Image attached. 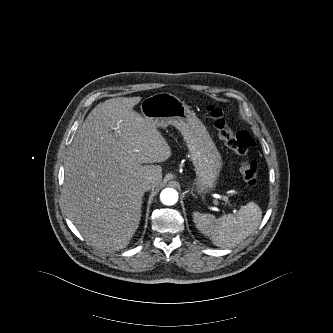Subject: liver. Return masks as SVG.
<instances>
[{
	"label": "liver",
	"instance_id": "obj_1",
	"mask_svg": "<svg viewBox=\"0 0 333 333\" xmlns=\"http://www.w3.org/2000/svg\"><path fill=\"white\" fill-rule=\"evenodd\" d=\"M141 99L117 97L98 104L65 162L64 209L101 250L129 244L141 219L143 183L152 178L155 188L162 181V167L152 164L172 154L156 125L133 110Z\"/></svg>",
	"mask_w": 333,
	"mask_h": 333
}]
</instances>
